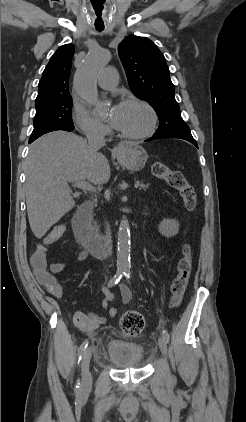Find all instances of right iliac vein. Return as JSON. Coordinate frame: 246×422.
Wrapping results in <instances>:
<instances>
[{"mask_svg": "<svg viewBox=\"0 0 246 422\" xmlns=\"http://www.w3.org/2000/svg\"><path fill=\"white\" fill-rule=\"evenodd\" d=\"M91 357H92V348L90 347L85 351L83 355L82 363H81L82 387L84 390L89 388L92 381L91 373L89 370Z\"/></svg>", "mask_w": 246, "mask_h": 422, "instance_id": "right-iliac-vein-1", "label": "right iliac vein"}]
</instances>
